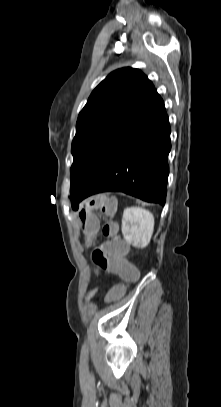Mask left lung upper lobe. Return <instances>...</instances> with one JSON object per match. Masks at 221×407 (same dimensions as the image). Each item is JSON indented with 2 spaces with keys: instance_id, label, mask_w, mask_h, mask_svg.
<instances>
[{
  "instance_id": "1",
  "label": "left lung upper lobe",
  "mask_w": 221,
  "mask_h": 407,
  "mask_svg": "<svg viewBox=\"0 0 221 407\" xmlns=\"http://www.w3.org/2000/svg\"><path fill=\"white\" fill-rule=\"evenodd\" d=\"M155 91L140 70L110 73L79 113L72 141L71 200L91 180L134 115Z\"/></svg>"
}]
</instances>
